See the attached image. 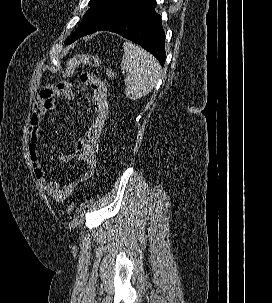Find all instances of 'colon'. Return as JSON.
<instances>
[{"mask_svg":"<svg viewBox=\"0 0 272 303\" xmlns=\"http://www.w3.org/2000/svg\"><path fill=\"white\" fill-rule=\"evenodd\" d=\"M87 65L90 67H99L100 66V60L97 56L95 55H89V54H83V55H77L74 56L69 62H68V66L66 68V70L64 71L63 75L64 76H68L70 75L74 69L78 66V65ZM106 75L109 78H114L116 76V72L113 69H107L106 70ZM74 211V204L73 203H69L67 206V212L68 213H72Z\"/></svg>","mask_w":272,"mask_h":303,"instance_id":"1","label":"colon"}]
</instances>
